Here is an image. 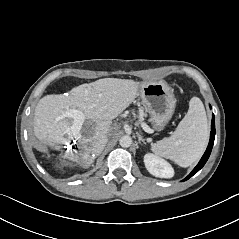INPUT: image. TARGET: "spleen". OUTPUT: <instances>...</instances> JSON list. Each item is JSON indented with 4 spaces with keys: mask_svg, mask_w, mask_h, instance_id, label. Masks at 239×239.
<instances>
[{
    "mask_svg": "<svg viewBox=\"0 0 239 239\" xmlns=\"http://www.w3.org/2000/svg\"><path fill=\"white\" fill-rule=\"evenodd\" d=\"M209 137L204 105L198 97L191 98L189 110L171 137L152 144L156 156L174 161L181 167L195 163L205 151Z\"/></svg>",
    "mask_w": 239,
    "mask_h": 239,
    "instance_id": "spleen-1",
    "label": "spleen"
}]
</instances>
